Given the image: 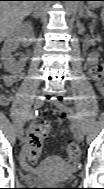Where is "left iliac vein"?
I'll return each mask as SVG.
<instances>
[{
	"label": "left iliac vein",
	"mask_w": 104,
	"mask_h": 189,
	"mask_svg": "<svg viewBox=\"0 0 104 189\" xmlns=\"http://www.w3.org/2000/svg\"><path fill=\"white\" fill-rule=\"evenodd\" d=\"M53 104L59 108L60 110L64 111L71 121L72 127L74 128L75 131V138L77 141L82 142L83 141V131L81 128V125L77 119V116L75 112L72 110V108L68 107L64 102L55 100L53 101Z\"/></svg>",
	"instance_id": "left-iliac-vein-1"
}]
</instances>
